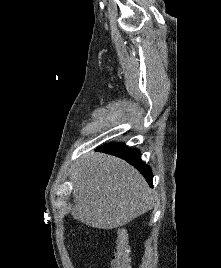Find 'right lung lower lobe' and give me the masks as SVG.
I'll return each instance as SVG.
<instances>
[{
    "instance_id": "obj_1",
    "label": "right lung lower lobe",
    "mask_w": 221,
    "mask_h": 268,
    "mask_svg": "<svg viewBox=\"0 0 221 268\" xmlns=\"http://www.w3.org/2000/svg\"><path fill=\"white\" fill-rule=\"evenodd\" d=\"M97 151L118 156L133 165L147 180L152 187L153 174L151 168L142 162L141 153L138 149L128 148L123 143H109L97 148Z\"/></svg>"
}]
</instances>
